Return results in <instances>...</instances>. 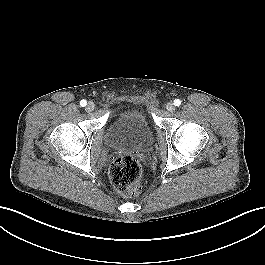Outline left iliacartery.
<instances>
[{"mask_svg": "<svg viewBox=\"0 0 265 265\" xmlns=\"http://www.w3.org/2000/svg\"><path fill=\"white\" fill-rule=\"evenodd\" d=\"M174 105L175 106H180L181 105V101L179 99H175L174 100Z\"/></svg>", "mask_w": 265, "mask_h": 265, "instance_id": "obj_1", "label": "left iliac artery"}]
</instances>
